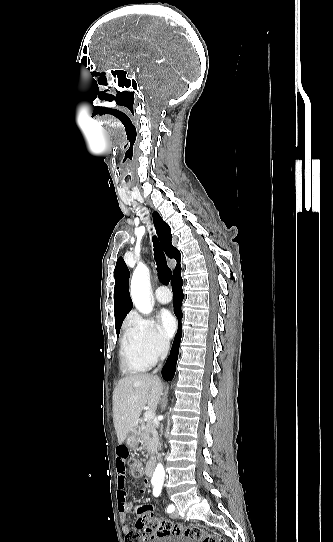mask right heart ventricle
I'll return each instance as SVG.
<instances>
[{"instance_id":"right-heart-ventricle-1","label":"right heart ventricle","mask_w":333,"mask_h":542,"mask_svg":"<svg viewBox=\"0 0 333 542\" xmlns=\"http://www.w3.org/2000/svg\"><path fill=\"white\" fill-rule=\"evenodd\" d=\"M120 356L122 367L128 373H139L148 370L155 358L146 353L140 346L125 338L121 342Z\"/></svg>"}]
</instances>
